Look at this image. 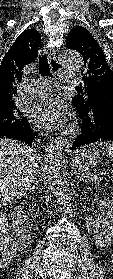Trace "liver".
Wrapping results in <instances>:
<instances>
[{"label":"liver","instance_id":"liver-1","mask_svg":"<svg viewBox=\"0 0 113 279\" xmlns=\"http://www.w3.org/2000/svg\"><path fill=\"white\" fill-rule=\"evenodd\" d=\"M39 160V155L25 144L0 139V207L26 195Z\"/></svg>","mask_w":113,"mask_h":279}]
</instances>
